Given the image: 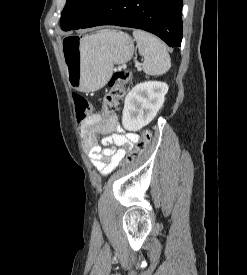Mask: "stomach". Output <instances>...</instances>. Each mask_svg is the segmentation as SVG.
<instances>
[{"instance_id":"obj_1","label":"stomach","mask_w":247,"mask_h":275,"mask_svg":"<svg viewBox=\"0 0 247 275\" xmlns=\"http://www.w3.org/2000/svg\"><path fill=\"white\" fill-rule=\"evenodd\" d=\"M61 47L69 86L83 92L102 88L114 65L128 62L134 53L132 38L117 30H104L83 38L67 36Z\"/></svg>"}]
</instances>
